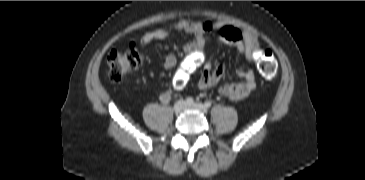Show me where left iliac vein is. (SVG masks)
Masks as SVG:
<instances>
[{
  "instance_id": "4c4485c4",
  "label": "left iliac vein",
  "mask_w": 365,
  "mask_h": 180,
  "mask_svg": "<svg viewBox=\"0 0 365 180\" xmlns=\"http://www.w3.org/2000/svg\"><path fill=\"white\" fill-rule=\"evenodd\" d=\"M187 109H196L202 113H206L207 112V108L205 107V105L201 104V103H195L192 105H187L186 106Z\"/></svg>"
}]
</instances>
